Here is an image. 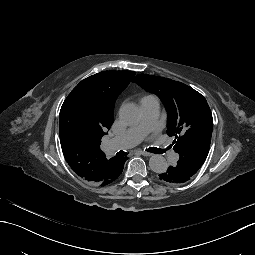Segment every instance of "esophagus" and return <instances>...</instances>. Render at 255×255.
<instances>
[{
    "label": "esophagus",
    "instance_id": "1",
    "mask_svg": "<svg viewBox=\"0 0 255 255\" xmlns=\"http://www.w3.org/2000/svg\"><path fill=\"white\" fill-rule=\"evenodd\" d=\"M141 154H142L143 156H151V155H153L152 153L144 152V151H141Z\"/></svg>",
    "mask_w": 255,
    "mask_h": 255
}]
</instances>
